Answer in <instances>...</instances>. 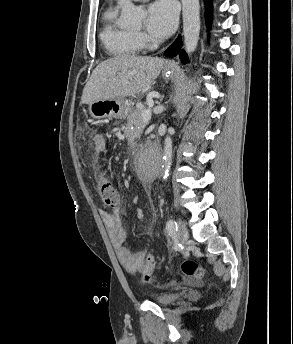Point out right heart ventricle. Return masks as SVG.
<instances>
[{
    "instance_id": "1",
    "label": "right heart ventricle",
    "mask_w": 293,
    "mask_h": 344,
    "mask_svg": "<svg viewBox=\"0 0 293 344\" xmlns=\"http://www.w3.org/2000/svg\"><path fill=\"white\" fill-rule=\"evenodd\" d=\"M118 10L114 6L107 7L102 14V30L100 38L106 50L113 56H137L142 46L136 33L121 27L117 22Z\"/></svg>"
}]
</instances>
